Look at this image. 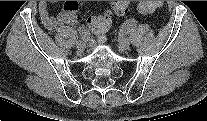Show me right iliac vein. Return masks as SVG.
Returning <instances> with one entry per match:
<instances>
[{
  "mask_svg": "<svg viewBox=\"0 0 207 121\" xmlns=\"http://www.w3.org/2000/svg\"><path fill=\"white\" fill-rule=\"evenodd\" d=\"M76 46L78 51H83L86 47V43L84 41H78Z\"/></svg>",
  "mask_w": 207,
  "mask_h": 121,
  "instance_id": "1",
  "label": "right iliac vein"
}]
</instances>
